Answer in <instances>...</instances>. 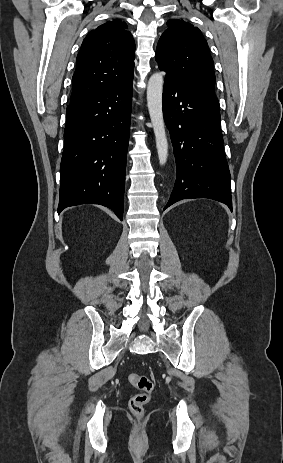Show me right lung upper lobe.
<instances>
[{
  "label": "right lung upper lobe",
  "instance_id": "right-lung-upper-lobe-1",
  "mask_svg": "<svg viewBox=\"0 0 283 463\" xmlns=\"http://www.w3.org/2000/svg\"><path fill=\"white\" fill-rule=\"evenodd\" d=\"M120 19L89 32L77 56L70 103L133 80L135 44Z\"/></svg>",
  "mask_w": 283,
  "mask_h": 463
}]
</instances>
